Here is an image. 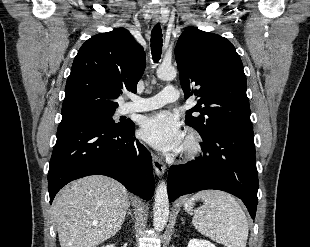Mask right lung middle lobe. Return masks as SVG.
<instances>
[{
    "instance_id": "right-lung-middle-lobe-1",
    "label": "right lung middle lobe",
    "mask_w": 310,
    "mask_h": 247,
    "mask_svg": "<svg viewBox=\"0 0 310 247\" xmlns=\"http://www.w3.org/2000/svg\"><path fill=\"white\" fill-rule=\"evenodd\" d=\"M115 109H105L90 106L74 107L62 111V121H72V120H102L109 121L112 125L116 127H121L127 122L115 123L112 119Z\"/></svg>"
}]
</instances>
